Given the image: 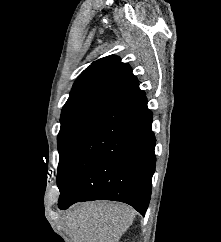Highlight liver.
<instances>
[{"instance_id": "obj_1", "label": "liver", "mask_w": 221, "mask_h": 242, "mask_svg": "<svg viewBox=\"0 0 221 242\" xmlns=\"http://www.w3.org/2000/svg\"><path fill=\"white\" fill-rule=\"evenodd\" d=\"M134 216L124 204L86 202L70 210L64 221L73 242H119Z\"/></svg>"}]
</instances>
